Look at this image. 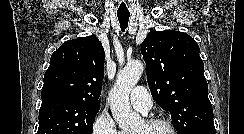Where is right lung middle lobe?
Returning a JSON list of instances; mask_svg holds the SVG:
<instances>
[{
  "label": "right lung middle lobe",
  "instance_id": "dd1d6c3e",
  "mask_svg": "<svg viewBox=\"0 0 244 134\" xmlns=\"http://www.w3.org/2000/svg\"><path fill=\"white\" fill-rule=\"evenodd\" d=\"M100 106L53 99L42 102L37 134H92Z\"/></svg>",
  "mask_w": 244,
  "mask_h": 134
}]
</instances>
